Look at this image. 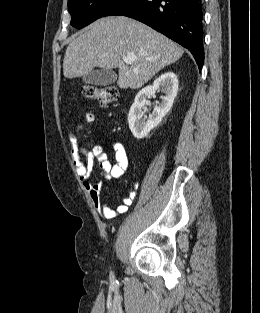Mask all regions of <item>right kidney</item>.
I'll use <instances>...</instances> for the list:
<instances>
[{
  "label": "right kidney",
  "mask_w": 260,
  "mask_h": 313,
  "mask_svg": "<svg viewBox=\"0 0 260 313\" xmlns=\"http://www.w3.org/2000/svg\"><path fill=\"white\" fill-rule=\"evenodd\" d=\"M157 90H161L165 95L161 97L162 102L154 108L146 120L142 110L145 108L147 98L154 95ZM177 92L178 78L172 71L163 73L152 85L139 91L128 114L129 128L135 138H145L152 129L160 124L163 117L170 111Z\"/></svg>",
  "instance_id": "right-kidney-1"
}]
</instances>
